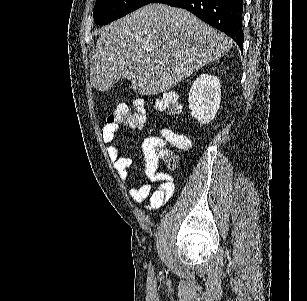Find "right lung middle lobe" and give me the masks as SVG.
I'll return each instance as SVG.
<instances>
[{
    "label": "right lung middle lobe",
    "mask_w": 307,
    "mask_h": 301,
    "mask_svg": "<svg viewBox=\"0 0 307 301\" xmlns=\"http://www.w3.org/2000/svg\"><path fill=\"white\" fill-rule=\"evenodd\" d=\"M150 2L151 0H97L93 11L94 21L97 25H105Z\"/></svg>",
    "instance_id": "dd1d6c3e"
}]
</instances>
